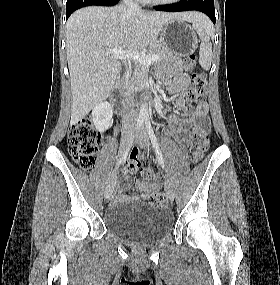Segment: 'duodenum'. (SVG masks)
<instances>
[{"instance_id":"duodenum-1","label":"duodenum","mask_w":280,"mask_h":285,"mask_svg":"<svg viewBox=\"0 0 280 285\" xmlns=\"http://www.w3.org/2000/svg\"><path fill=\"white\" fill-rule=\"evenodd\" d=\"M144 92H148L147 88L144 89ZM126 94L123 90V82H119L116 87V94L112 97L113 104L115 105L117 111L121 112V103L125 100Z\"/></svg>"}]
</instances>
